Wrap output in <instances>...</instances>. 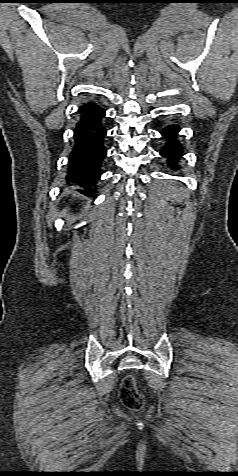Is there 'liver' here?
Masks as SVG:
<instances>
[{
    "label": "liver",
    "instance_id": "6515ba94",
    "mask_svg": "<svg viewBox=\"0 0 238 476\" xmlns=\"http://www.w3.org/2000/svg\"><path fill=\"white\" fill-rule=\"evenodd\" d=\"M65 193H66V194H69L70 192H69V191H66Z\"/></svg>",
    "mask_w": 238,
    "mask_h": 476
}]
</instances>
